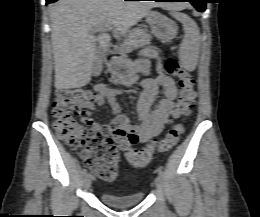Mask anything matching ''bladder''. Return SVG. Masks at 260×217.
I'll return each instance as SVG.
<instances>
[{"instance_id":"obj_1","label":"bladder","mask_w":260,"mask_h":217,"mask_svg":"<svg viewBox=\"0 0 260 217\" xmlns=\"http://www.w3.org/2000/svg\"><path fill=\"white\" fill-rule=\"evenodd\" d=\"M100 200L112 207H127L140 204L144 200V193L136 192L128 195H115L108 192H101Z\"/></svg>"}]
</instances>
